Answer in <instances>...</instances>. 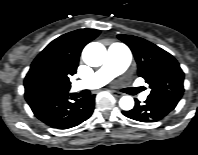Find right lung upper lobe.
I'll list each match as a JSON object with an SVG mask.
<instances>
[{"label":"right lung upper lobe","instance_id":"1","mask_svg":"<svg viewBox=\"0 0 198 155\" xmlns=\"http://www.w3.org/2000/svg\"><path fill=\"white\" fill-rule=\"evenodd\" d=\"M95 29H79L52 41L33 61L24 86L28 103L68 93L69 76L76 73L84 46L99 35Z\"/></svg>","mask_w":198,"mask_h":155}]
</instances>
